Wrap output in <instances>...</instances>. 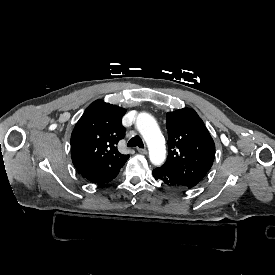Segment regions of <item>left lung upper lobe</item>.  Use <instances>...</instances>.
Wrapping results in <instances>:
<instances>
[{"instance_id":"left-lung-upper-lobe-1","label":"left lung upper lobe","mask_w":275,"mask_h":275,"mask_svg":"<svg viewBox=\"0 0 275 275\" xmlns=\"http://www.w3.org/2000/svg\"><path fill=\"white\" fill-rule=\"evenodd\" d=\"M168 157L163 165L188 188L196 186L211 168L214 141L198 114L184 108L166 114Z\"/></svg>"}]
</instances>
